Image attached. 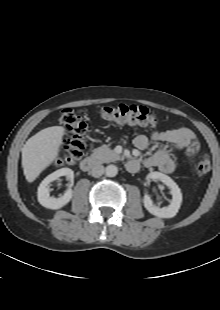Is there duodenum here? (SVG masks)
Segmentation results:
<instances>
[{
    "label": "duodenum",
    "instance_id": "duodenum-1",
    "mask_svg": "<svg viewBox=\"0 0 220 310\" xmlns=\"http://www.w3.org/2000/svg\"><path fill=\"white\" fill-rule=\"evenodd\" d=\"M98 165V160L95 157H86L81 160L80 168L84 172L92 171ZM140 163L138 160L131 159L127 162V168L131 172L138 170Z\"/></svg>",
    "mask_w": 220,
    "mask_h": 310
}]
</instances>
